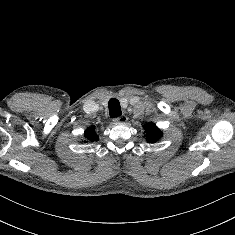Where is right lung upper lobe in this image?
Wrapping results in <instances>:
<instances>
[{"label": "right lung upper lobe", "mask_w": 235, "mask_h": 235, "mask_svg": "<svg viewBox=\"0 0 235 235\" xmlns=\"http://www.w3.org/2000/svg\"><path fill=\"white\" fill-rule=\"evenodd\" d=\"M85 137L91 142L97 141L99 139L98 135L95 133V128L94 127H89L85 131Z\"/></svg>", "instance_id": "1"}]
</instances>
